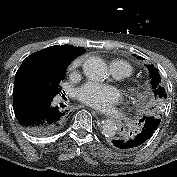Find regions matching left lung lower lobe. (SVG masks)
<instances>
[{
	"mask_svg": "<svg viewBox=\"0 0 177 177\" xmlns=\"http://www.w3.org/2000/svg\"><path fill=\"white\" fill-rule=\"evenodd\" d=\"M160 118L154 116H144L141 120V128L136 134L130 136H120L115 138L112 143L116 148L131 150L143 145L151 137L160 124Z\"/></svg>",
	"mask_w": 177,
	"mask_h": 177,
	"instance_id": "obj_1",
	"label": "left lung lower lobe"
}]
</instances>
